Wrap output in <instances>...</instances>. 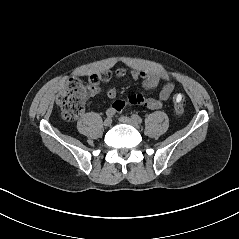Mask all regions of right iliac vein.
<instances>
[{
    "instance_id": "1",
    "label": "right iliac vein",
    "mask_w": 239,
    "mask_h": 239,
    "mask_svg": "<svg viewBox=\"0 0 239 239\" xmlns=\"http://www.w3.org/2000/svg\"><path fill=\"white\" fill-rule=\"evenodd\" d=\"M104 126L105 127H109V126H111V124H112V119L111 118H106L105 120H104Z\"/></svg>"
}]
</instances>
